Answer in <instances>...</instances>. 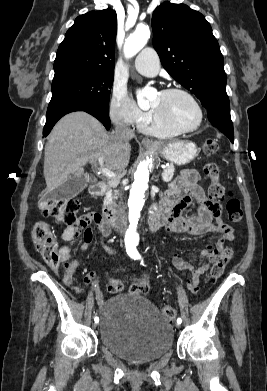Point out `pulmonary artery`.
Masks as SVG:
<instances>
[{"label": "pulmonary artery", "instance_id": "e3ab8cb5", "mask_svg": "<svg viewBox=\"0 0 267 391\" xmlns=\"http://www.w3.org/2000/svg\"><path fill=\"white\" fill-rule=\"evenodd\" d=\"M134 68L144 76H155L160 68V60L157 52L153 48H144L135 58Z\"/></svg>", "mask_w": 267, "mask_h": 391}]
</instances>
